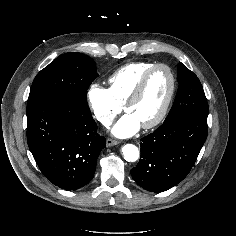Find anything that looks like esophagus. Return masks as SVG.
Returning <instances> with one entry per match:
<instances>
[{
  "instance_id": "34e87169",
  "label": "esophagus",
  "mask_w": 236,
  "mask_h": 236,
  "mask_svg": "<svg viewBox=\"0 0 236 236\" xmlns=\"http://www.w3.org/2000/svg\"><path fill=\"white\" fill-rule=\"evenodd\" d=\"M118 143H119V141L111 139V138H108L106 140V146L107 147H111V146L117 145Z\"/></svg>"
}]
</instances>
